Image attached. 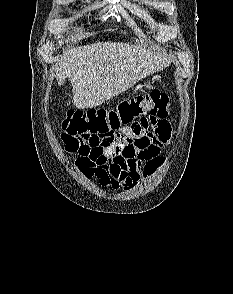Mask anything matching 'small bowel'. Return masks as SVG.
<instances>
[{
	"mask_svg": "<svg viewBox=\"0 0 233 294\" xmlns=\"http://www.w3.org/2000/svg\"><path fill=\"white\" fill-rule=\"evenodd\" d=\"M128 128L130 132H125V137H131L132 143L105 149L101 157H79L78 171L85 178L95 179L100 186L113 190L131 189L151 176L165 161L160 149L170 142L171 127L165 117L149 114L128 123Z\"/></svg>",
	"mask_w": 233,
	"mask_h": 294,
	"instance_id": "c3829d8e",
	"label": "small bowel"
}]
</instances>
